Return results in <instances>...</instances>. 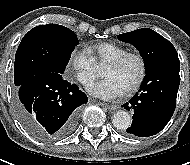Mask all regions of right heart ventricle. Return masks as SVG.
<instances>
[{"instance_id": "right-heart-ventricle-1", "label": "right heart ventricle", "mask_w": 190, "mask_h": 165, "mask_svg": "<svg viewBox=\"0 0 190 165\" xmlns=\"http://www.w3.org/2000/svg\"><path fill=\"white\" fill-rule=\"evenodd\" d=\"M87 50L96 64H104L128 52V49L113 42H100L90 45Z\"/></svg>"}]
</instances>
